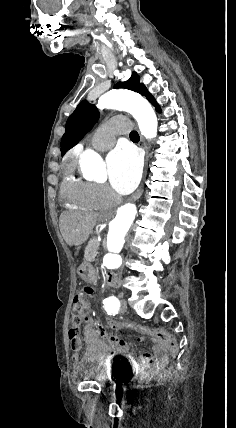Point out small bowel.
<instances>
[{"instance_id":"c3829d8e","label":"small bowel","mask_w":236,"mask_h":428,"mask_svg":"<svg viewBox=\"0 0 236 428\" xmlns=\"http://www.w3.org/2000/svg\"><path fill=\"white\" fill-rule=\"evenodd\" d=\"M83 339L86 344L83 359L86 362L123 358L130 367L136 370L156 368L166 362L167 357L161 344H155L152 348V353L136 358L129 352V345L126 341L116 336H109L102 325H96L91 315L86 316ZM70 343L73 351L72 359L75 363H78L81 359V341L77 336L75 339L70 338Z\"/></svg>"}]
</instances>
